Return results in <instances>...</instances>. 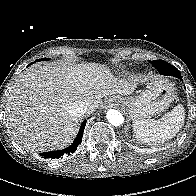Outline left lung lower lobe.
<instances>
[{
  "mask_svg": "<svg viewBox=\"0 0 196 196\" xmlns=\"http://www.w3.org/2000/svg\"><path fill=\"white\" fill-rule=\"evenodd\" d=\"M175 77H177L178 79L182 80L181 75H176Z\"/></svg>",
  "mask_w": 196,
  "mask_h": 196,
  "instance_id": "0a47b994",
  "label": "left lung lower lobe"
}]
</instances>
